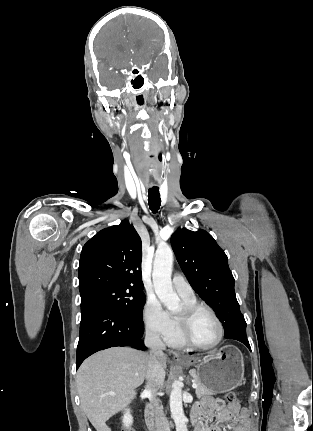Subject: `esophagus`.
Returning <instances> with one entry per match:
<instances>
[{
    "label": "esophagus",
    "instance_id": "34e87169",
    "mask_svg": "<svg viewBox=\"0 0 313 431\" xmlns=\"http://www.w3.org/2000/svg\"><path fill=\"white\" fill-rule=\"evenodd\" d=\"M172 355L174 360H179L182 358V355L179 352H173Z\"/></svg>",
    "mask_w": 313,
    "mask_h": 431
}]
</instances>
